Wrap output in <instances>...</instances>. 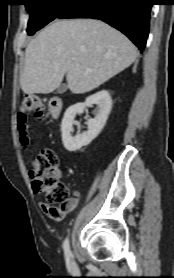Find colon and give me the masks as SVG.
I'll list each match as a JSON object with an SVG mask.
<instances>
[{
  "label": "colon",
  "mask_w": 174,
  "mask_h": 278,
  "mask_svg": "<svg viewBox=\"0 0 174 278\" xmlns=\"http://www.w3.org/2000/svg\"><path fill=\"white\" fill-rule=\"evenodd\" d=\"M31 116L40 121L45 118V102L34 95L23 99L17 114L21 144L24 147L29 144L28 121ZM30 175L34 189L43 193L49 203L62 205L69 199L70 190L59 180L57 157L51 149H44L34 157Z\"/></svg>",
  "instance_id": "5ec220e1"
}]
</instances>
